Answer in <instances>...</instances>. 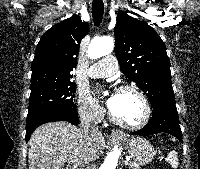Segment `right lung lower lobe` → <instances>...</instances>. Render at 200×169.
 I'll list each match as a JSON object with an SVG mask.
<instances>
[{"label":"right lung lower lobe","mask_w":200,"mask_h":169,"mask_svg":"<svg viewBox=\"0 0 200 169\" xmlns=\"http://www.w3.org/2000/svg\"><path fill=\"white\" fill-rule=\"evenodd\" d=\"M53 121H68L72 124H78L79 118L76 109L70 111L40 110L28 113L26 120V142L38 126Z\"/></svg>","instance_id":"1"}]
</instances>
